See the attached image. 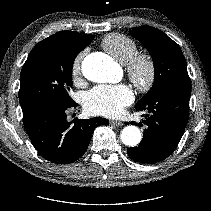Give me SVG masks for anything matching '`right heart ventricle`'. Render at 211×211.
Segmentation results:
<instances>
[{
    "mask_svg": "<svg viewBox=\"0 0 211 211\" xmlns=\"http://www.w3.org/2000/svg\"><path fill=\"white\" fill-rule=\"evenodd\" d=\"M102 47L121 64H126L138 52L137 43L121 33L106 35L102 40Z\"/></svg>",
    "mask_w": 211,
    "mask_h": 211,
    "instance_id": "obj_1",
    "label": "right heart ventricle"
}]
</instances>
